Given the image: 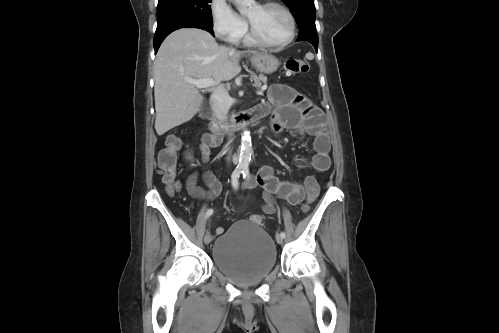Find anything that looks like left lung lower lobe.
I'll return each instance as SVG.
<instances>
[{
	"instance_id": "1",
	"label": "left lung lower lobe",
	"mask_w": 499,
	"mask_h": 333,
	"mask_svg": "<svg viewBox=\"0 0 499 333\" xmlns=\"http://www.w3.org/2000/svg\"><path fill=\"white\" fill-rule=\"evenodd\" d=\"M296 41H308L314 46L316 51L318 49V35L315 30L308 28L301 29Z\"/></svg>"
}]
</instances>
